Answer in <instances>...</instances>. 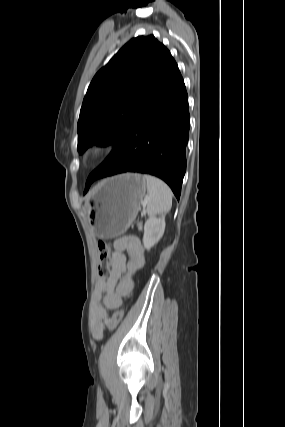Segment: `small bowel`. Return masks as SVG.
Instances as JSON below:
<instances>
[{"label": "small bowel", "instance_id": "obj_1", "mask_svg": "<svg viewBox=\"0 0 285 427\" xmlns=\"http://www.w3.org/2000/svg\"><path fill=\"white\" fill-rule=\"evenodd\" d=\"M144 263V247L138 237L125 236L115 242L109 276L96 284L92 294V334L95 339L103 337L109 321L108 310L122 305L123 297L131 293L134 277Z\"/></svg>", "mask_w": 285, "mask_h": 427}]
</instances>
